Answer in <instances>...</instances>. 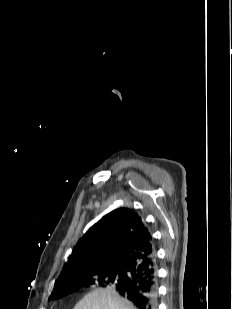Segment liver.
Instances as JSON below:
<instances>
[{
  "label": "liver",
  "mask_w": 232,
  "mask_h": 309,
  "mask_svg": "<svg viewBox=\"0 0 232 309\" xmlns=\"http://www.w3.org/2000/svg\"><path fill=\"white\" fill-rule=\"evenodd\" d=\"M73 309H137L114 289H96L86 294Z\"/></svg>",
  "instance_id": "obj_1"
}]
</instances>
